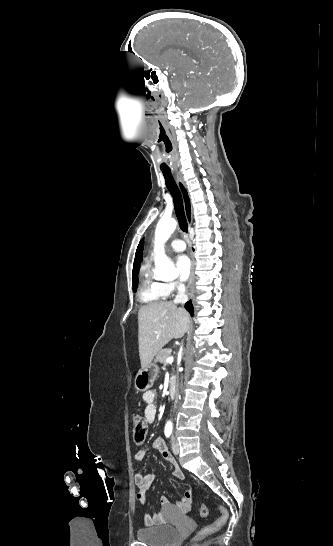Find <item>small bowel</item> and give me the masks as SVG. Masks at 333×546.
<instances>
[{
    "label": "small bowel",
    "mask_w": 333,
    "mask_h": 546,
    "mask_svg": "<svg viewBox=\"0 0 333 546\" xmlns=\"http://www.w3.org/2000/svg\"><path fill=\"white\" fill-rule=\"evenodd\" d=\"M142 399L146 405L144 415L149 423H153L157 416L156 409V393L153 390L146 391L142 395ZM153 447L158 450L164 462L170 465L173 468L172 475L177 482H181L184 479L183 473L176 468L175 459L172 454L167 450L165 442L161 438H156L153 441ZM146 457V450L141 449L136 452L135 459L137 461H143ZM155 480L154 473L149 474H134V483L137 488L136 498L140 501L142 505H145L146 492L152 486ZM162 512L161 513H145L143 515V522L147 526H159L166 523V514L173 511L176 508L182 512L187 513L192 508V491L187 490L183 496L177 500L175 506L168 500V498L162 496L160 499Z\"/></svg>",
    "instance_id": "obj_1"
}]
</instances>
